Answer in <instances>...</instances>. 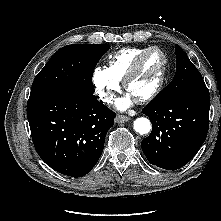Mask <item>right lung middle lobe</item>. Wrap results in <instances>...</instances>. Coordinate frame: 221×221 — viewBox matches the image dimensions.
I'll return each instance as SVG.
<instances>
[{"label":"right lung middle lobe","mask_w":221,"mask_h":221,"mask_svg":"<svg viewBox=\"0 0 221 221\" xmlns=\"http://www.w3.org/2000/svg\"><path fill=\"white\" fill-rule=\"evenodd\" d=\"M108 50V44L68 45L59 49L34 79L30 98L66 91L93 93V71Z\"/></svg>","instance_id":"1"}]
</instances>
